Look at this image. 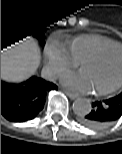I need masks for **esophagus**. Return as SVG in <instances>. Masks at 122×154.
<instances>
[{
  "label": "esophagus",
  "mask_w": 122,
  "mask_h": 154,
  "mask_svg": "<svg viewBox=\"0 0 122 154\" xmlns=\"http://www.w3.org/2000/svg\"><path fill=\"white\" fill-rule=\"evenodd\" d=\"M63 91H64L65 94H66L70 99H72V100H74V99H76V98L78 97L77 94L72 93V92H70V91H68V90H66V89H63Z\"/></svg>",
  "instance_id": "esophagus-1"
}]
</instances>
